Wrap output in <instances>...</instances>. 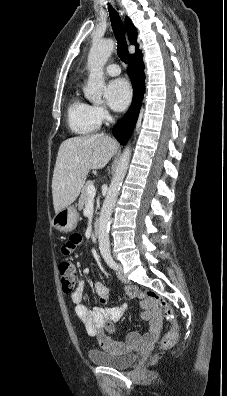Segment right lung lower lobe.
Listing matches in <instances>:
<instances>
[{
	"mask_svg": "<svg viewBox=\"0 0 227 396\" xmlns=\"http://www.w3.org/2000/svg\"><path fill=\"white\" fill-rule=\"evenodd\" d=\"M137 53L131 56V62L128 67V75L133 85V101L125 116L113 128V135L120 142L125 145L132 133L136 120L138 118L139 110L144 94V64L142 61V53L136 50Z\"/></svg>",
	"mask_w": 227,
	"mask_h": 396,
	"instance_id": "1",
	"label": "right lung lower lobe"
}]
</instances>
